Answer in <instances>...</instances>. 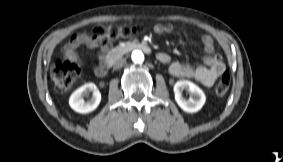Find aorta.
Instances as JSON below:
<instances>
[{
  "label": "aorta",
  "mask_w": 283,
  "mask_h": 162,
  "mask_svg": "<svg viewBox=\"0 0 283 162\" xmlns=\"http://www.w3.org/2000/svg\"><path fill=\"white\" fill-rule=\"evenodd\" d=\"M131 59L136 64H141L144 61V54L140 50H134L131 54Z\"/></svg>",
  "instance_id": "obj_1"
}]
</instances>
